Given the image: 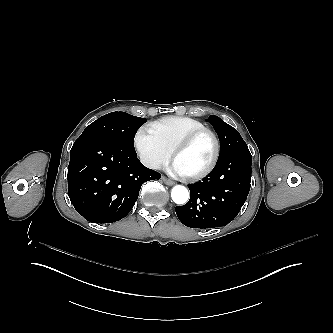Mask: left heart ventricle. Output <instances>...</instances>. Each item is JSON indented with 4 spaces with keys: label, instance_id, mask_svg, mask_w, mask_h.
Listing matches in <instances>:
<instances>
[{
    "label": "left heart ventricle",
    "instance_id": "obj_1",
    "mask_svg": "<svg viewBox=\"0 0 333 333\" xmlns=\"http://www.w3.org/2000/svg\"><path fill=\"white\" fill-rule=\"evenodd\" d=\"M215 146L209 134H202L187 148L177 153L171 161L186 175H191L204 168L214 154Z\"/></svg>",
    "mask_w": 333,
    "mask_h": 333
}]
</instances>
